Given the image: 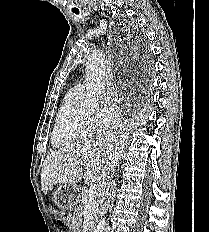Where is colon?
Returning <instances> with one entry per match:
<instances>
[{"instance_id":"colon-1","label":"colon","mask_w":209,"mask_h":232,"mask_svg":"<svg viewBox=\"0 0 209 232\" xmlns=\"http://www.w3.org/2000/svg\"><path fill=\"white\" fill-rule=\"evenodd\" d=\"M61 221L63 223H68L70 221V214L67 211L61 212Z\"/></svg>"}]
</instances>
